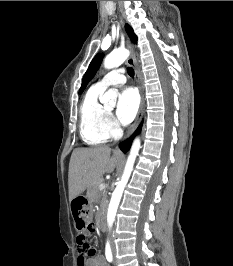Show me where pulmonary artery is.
<instances>
[{"mask_svg":"<svg viewBox=\"0 0 233 266\" xmlns=\"http://www.w3.org/2000/svg\"><path fill=\"white\" fill-rule=\"evenodd\" d=\"M126 82V76L122 69L112 70L100 79L95 85L101 89H106L109 86L122 85Z\"/></svg>","mask_w":233,"mask_h":266,"instance_id":"e3ab8cb5","label":"pulmonary artery"}]
</instances>
